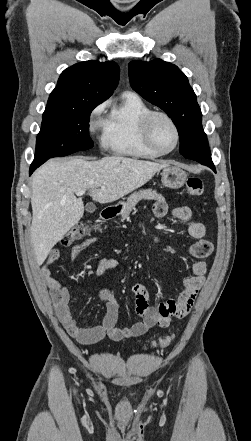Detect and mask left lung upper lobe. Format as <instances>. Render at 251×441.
<instances>
[{
  "mask_svg": "<svg viewBox=\"0 0 251 441\" xmlns=\"http://www.w3.org/2000/svg\"><path fill=\"white\" fill-rule=\"evenodd\" d=\"M131 87L172 118L180 137V153L198 161L192 140L203 131L202 114L188 79L177 66L155 59L132 61L128 65Z\"/></svg>",
  "mask_w": 251,
  "mask_h": 441,
  "instance_id": "obj_1",
  "label": "left lung upper lobe"
}]
</instances>
